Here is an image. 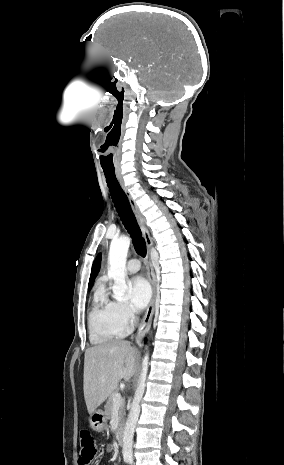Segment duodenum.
<instances>
[{
  "label": "duodenum",
  "mask_w": 284,
  "mask_h": 465,
  "mask_svg": "<svg viewBox=\"0 0 284 465\" xmlns=\"http://www.w3.org/2000/svg\"><path fill=\"white\" fill-rule=\"evenodd\" d=\"M123 437H124V430L117 429L116 434H115V439L118 444L123 442Z\"/></svg>",
  "instance_id": "1"
}]
</instances>
